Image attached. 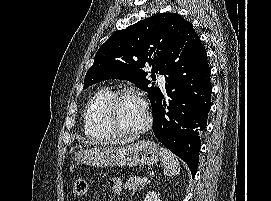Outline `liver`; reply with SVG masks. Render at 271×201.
Returning a JSON list of instances; mask_svg holds the SVG:
<instances>
[{"mask_svg": "<svg viewBox=\"0 0 271 201\" xmlns=\"http://www.w3.org/2000/svg\"><path fill=\"white\" fill-rule=\"evenodd\" d=\"M131 140L128 139V138H124V139H117V140H112V141H109L107 142V144H110V145H119V144H127L129 143ZM82 143L84 144H93L92 141H82Z\"/></svg>", "mask_w": 271, "mask_h": 201, "instance_id": "1", "label": "liver"}]
</instances>
